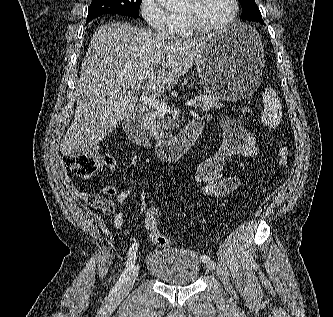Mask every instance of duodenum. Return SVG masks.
Instances as JSON below:
<instances>
[{
  "label": "duodenum",
  "mask_w": 333,
  "mask_h": 317,
  "mask_svg": "<svg viewBox=\"0 0 333 317\" xmlns=\"http://www.w3.org/2000/svg\"><path fill=\"white\" fill-rule=\"evenodd\" d=\"M124 129L129 139L136 145L153 150L165 162H174L191 149L201 133L202 125L200 122L191 121L176 137L170 140H154L146 132L142 114L133 113L125 118Z\"/></svg>",
  "instance_id": "410a0bca"
}]
</instances>
